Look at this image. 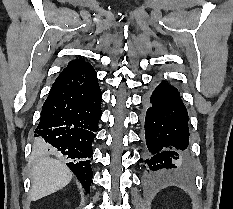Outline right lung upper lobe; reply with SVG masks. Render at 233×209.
Segmentation results:
<instances>
[{
	"label": "right lung upper lobe",
	"instance_id": "obj_1",
	"mask_svg": "<svg viewBox=\"0 0 233 209\" xmlns=\"http://www.w3.org/2000/svg\"><path fill=\"white\" fill-rule=\"evenodd\" d=\"M89 65V62L84 61V59H75L68 63L67 67L64 68V70L59 74L56 81L67 76L68 74L72 73L73 71H76L84 66Z\"/></svg>",
	"mask_w": 233,
	"mask_h": 209
}]
</instances>
